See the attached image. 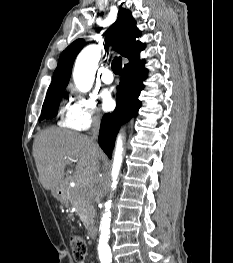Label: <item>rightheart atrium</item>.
<instances>
[{
	"instance_id": "obj_1",
	"label": "right heart atrium",
	"mask_w": 233,
	"mask_h": 263,
	"mask_svg": "<svg viewBox=\"0 0 233 263\" xmlns=\"http://www.w3.org/2000/svg\"><path fill=\"white\" fill-rule=\"evenodd\" d=\"M100 119L96 97L76 95L68 108L65 124L70 129L85 131L97 125Z\"/></svg>"
}]
</instances>
